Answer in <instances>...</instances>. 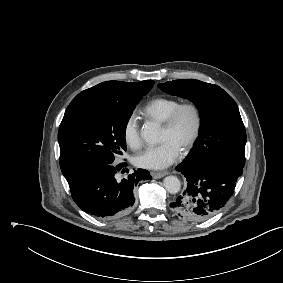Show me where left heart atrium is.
I'll return each instance as SVG.
<instances>
[{
	"mask_svg": "<svg viewBox=\"0 0 283 283\" xmlns=\"http://www.w3.org/2000/svg\"><path fill=\"white\" fill-rule=\"evenodd\" d=\"M181 149L170 141H164L157 146H148L139 151L133 158L136 166L160 170L173 164L180 156Z\"/></svg>",
	"mask_w": 283,
	"mask_h": 283,
	"instance_id": "left-heart-atrium-1",
	"label": "left heart atrium"
}]
</instances>
